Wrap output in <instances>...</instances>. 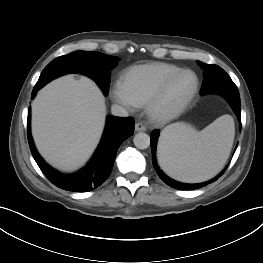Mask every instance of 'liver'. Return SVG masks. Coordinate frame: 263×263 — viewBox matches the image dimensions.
Listing matches in <instances>:
<instances>
[{
	"label": "liver",
	"mask_w": 263,
	"mask_h": 263,
	"mask_svg": "<svg viewBox=\"0 0 263 263\" xmlns=\"http://www.w3.org/2000/svg\"><path fill=\"white\" fill-rule=\"evenodd\" d=\"M105 100L94 81L72 75L47 84L32 103V135L52 166L73 171L96 148L103 132Z\"/></svg>",
	"instance_id": "obj_1"
}]
</instances>
